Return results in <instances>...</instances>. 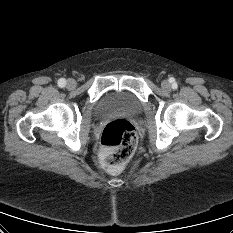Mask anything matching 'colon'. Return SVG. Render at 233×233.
Here are the masks:
<instances>
[{
  "instance_id": "5ec220e1",
  "label": "colon",
  "mask_w": 233,
  "mask_h": 233,
  "mask_svg": "<svg viewBox=\"0 0 233 233\" xmlns=\"http://www.w3.org/2000/svg\"><path fill=\"white\" fill-rule=\"evenodd\" d=\"M135 127L126 119L109 122L101 135L104 151L102 165L109 170H116L125 164L135 152L137 146Z\"/></svg>"
}]
</instances>
